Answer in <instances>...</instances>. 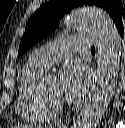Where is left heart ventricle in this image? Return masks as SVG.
<instances>
[{
	"label": "left heart ventricle",
	"mask_w": 125,
	"mask_h": 128,
	"mask_svg": "<svg viewBox=\"0 0 125 128\" xmlns=\"http://www.w3.org/2000/svg\"><path fill=\"white\" fill-rule=\"evenodd\" d=\"M42 87L45 93L50 98L57 100L61 103L63 102L58 95V84L56 78L46 80L45 82L42 83Z\"/></svg>",
	"instance_id": "obj_1"
}]
</instances>
